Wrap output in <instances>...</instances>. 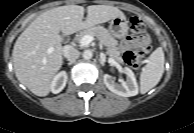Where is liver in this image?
<instances>
[{
	"label": "liver",
	"mask_w": 194,
	"mask_h": 133,
	"mask_svg": "<svg viewBox=\"0 0 194 133\" xmlns=\"http://www.w3.org/2000/svg\"><path fill=\"white\" fill-rule=\"evenodd\" d=\"M84 7L66 5L40 14L17 38L13 47V64L17 79L37 96H47L51 82L63 63V32L66 35L125 17L116 7L91 5L83 21ZM53 48L52 53H47Z\"/></svg>",
	"instance_id": "6515ba94"
}]
</instances>
